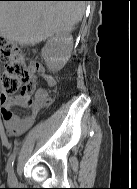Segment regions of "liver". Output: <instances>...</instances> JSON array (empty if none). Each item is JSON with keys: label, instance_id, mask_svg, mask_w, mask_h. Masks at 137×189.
Wrapping results in <instances>:
<instances>
[{"label": "liver", "instance_id": "1", "mask_svg": "<svg viewBox=\"0 0 137 189\" xmlns=\"http://www.w3.org/2000/svg\"><path fill=\"white\" fill-rule=\"evenodd\" d=\"M84 12V1H0V31L9 41L34 45L71 31Z\"/></svg>", "mask_w": 137, "mask_h": 189}]
</instances>
